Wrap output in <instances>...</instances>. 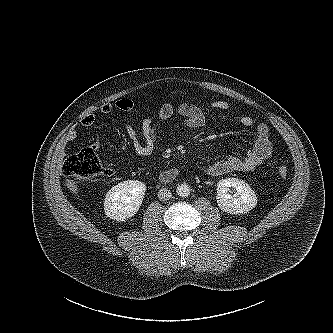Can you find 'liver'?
<instances>
[{"mask_svg": "<svg viewBox=\"0 0 333 333\" xmlns=\"http://www.w3.org/2000/svg\"><path fill=\"white\" fill-rule=\"evenodd\" d=\"M66 186L69 188V190L75 194L78 193V187L76 183L73 180H66Z\"/></svg>", "mask_w": 333, "mask_h": 333, "instance_id": "obj_1", "label": "liver"}]
</instances>
